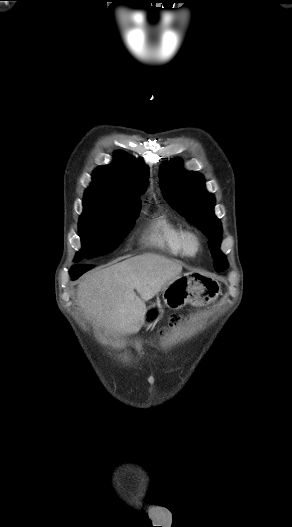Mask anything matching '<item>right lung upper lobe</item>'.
Wrapping results in <instances>:
<instances>
[{
  "instance_id": "1",
  "label": "right lung upper lobe",
  "mask_w": 292,
  "mask_h": 527,
  "mask_svg": "<svg viewBox=\"0 0 292 527\" xmlns=\"http://www.w3.org/2000/svg\"><path fill=\"white\" fill-rule=\"evenodd\" d=\"M148 177L147 167L125 153L117 152L113 164L94 171L92 186L86 190L85 196L110 203H141L139 194L144 192Z\"/></svg>"
}]
</instances>
